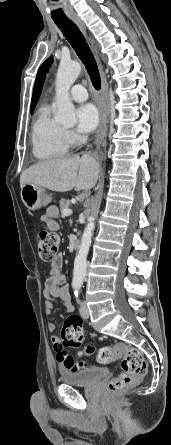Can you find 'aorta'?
Masks as SVG:
<instances>
[{"mask_svg": "<svg viewBox=\"0 0 171 445\" xmlns=\"http://www.w3.org/2000/svg\"><path fill=\"white\" fill-rule=\"evenodd\" d=\"M81 72V65L77 61L61 62L56 75V104L55 120L63 124H74L77 121L75 107L71 101L69 90ZM95 229L94 218H90L74 261L73 283L82 284L87 272V255L91 238Z\"/></svg>", "mask_w": 171, "mask_h": 445, "instance_id": "762f6f07", "label": "aorta"}]
</instances>
